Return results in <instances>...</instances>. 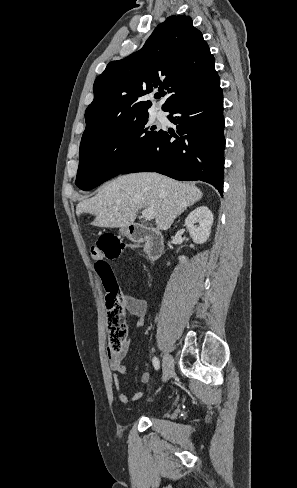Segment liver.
Returning a JSON list of instances; mask_svg holds the SVG:
<instances>
[{"label":"liver","mask_w":297,"mask_h":488,"mask_svg":"<svg viewBox=\"0 0 297 488\" xmlns=\"http://www.w3.org/2000/svg\"><path fill=\"white\" fill-rule=\"evenodd\" d=\"M202 195L193 184L158 173H134L107 182L94 197L81 201L76 213L95 215L93 226L123 230L135 221L139 209L153 208L157 228L167 230Z\"/></svg>","instance_id":"obj_1"}]
</instances>
